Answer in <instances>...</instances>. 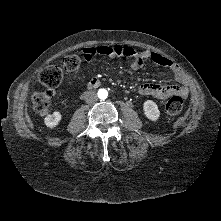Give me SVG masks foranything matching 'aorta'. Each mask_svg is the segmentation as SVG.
Wrapping results in <instances>:
<instances>
[{
    "label": "aorta",
    "mask_w": 221,
    "mask_h": 221,
    "mask_svg": "<svg viewBox=\"0 0 221 221\" xmlns=\"http://www.w3.org/2000/svg\"><path fill=\"white\" fill-rule=\"evenodd\" d=\"M107 96H108V91L106 90V89H99V91H98V97L100 98V99H106L107 98Z\"/></svg>",
    "instance_id": "aorta-1"
}]
</instances>
